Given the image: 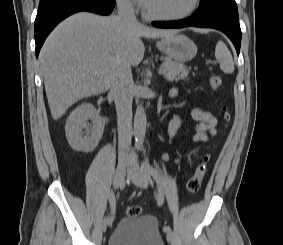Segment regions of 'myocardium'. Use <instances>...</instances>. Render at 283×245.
Instances as JSON below:
<instances>
[{
	"label": "myocardium",
	"instance_id": "f54148a6",
	"mask_svg": "<svg viewBox=\"0 0 283 245\" xmlns=\"http://www.w3.org/2000/svg\"><path fill=\"white\" fill-rule=\"evenodd\" d=\"M201 0H192V3L188 9L177 15H159L149 12L145 7H143V15L151 20L158 21H178L185 19L192 15L199 7Z\"/></svg>",
	"mask_w": 283,
	"mask_h": 245
}]
</instances>
